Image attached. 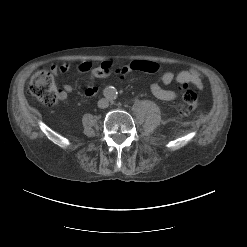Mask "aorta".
Segmentation results:
<instances>
[{"label":"aorta","mask_w":247,"mask_h":247,"mask_svg":"<svg viewBox=\"0 0 247 247\" xmlns=\"http://www.w3.org/2000/svg\"><path fill=\"white\" fill-rule=\"evenodd\" d=\"M104 95L107 99L113 101L117 98L118 92L117 89L113 86H108L104 90Z\"/></svg>","instance_id":"762f6f07"}]
</instances>
